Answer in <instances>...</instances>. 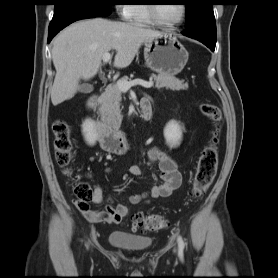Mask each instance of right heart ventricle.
<instances>
[{
	"label": "right heart ventricle",
	"mask_w": 278,
	"mask_h": 278,
	"mask_svg": "<svg viewBox=\"0 0 278 278\" xmlns=\"http://www.w3.org/2000/svg\"><path fill=\"white\" fill-rule=\"evenodd\" d=\"M130 21L141 25H152L146 4H134L131 5Z\"/></svg>",
	"instance_id": "e07e8e85"
}]
</instances>
